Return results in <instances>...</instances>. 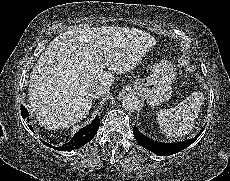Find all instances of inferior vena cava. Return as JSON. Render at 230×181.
<instances>
[{"instance_id":"obj_1","label":"inferior vena cava","mask_w":230,"mask_h":181,"mask_svg":"<svg viewBox=\"0 0 230 181\" xmlns=\"http://www.w3.org/2000/svg\"><path fill=\"white\" fill-rule=\"evenodd\" d=\"M109 92V87L103 85H96L90 89V95L96 99L106 95Z\"/></svg>"}]
</instances>
